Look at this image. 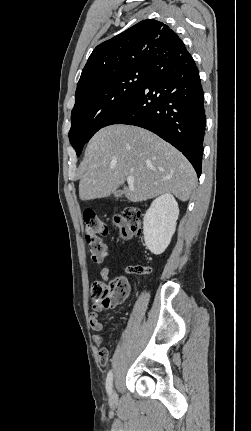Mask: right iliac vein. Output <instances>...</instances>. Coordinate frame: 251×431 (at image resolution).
<instances>
[{"mask_svg": "<svg viewBox=\"0 0 251 431\" xmlns=\"http://www.w3.org/2000/svg\"><path fill=\"white\" fill-rule=\"evenodd\" d=\"M110 401L111 402H115L116 401V394H115V392L111 393V395H110Z\"/></svg>", "mask_w": 251, "mask_h": 431, "instance_id": "1", "label": "right iliac vein"}]
</instances>
